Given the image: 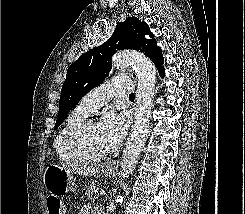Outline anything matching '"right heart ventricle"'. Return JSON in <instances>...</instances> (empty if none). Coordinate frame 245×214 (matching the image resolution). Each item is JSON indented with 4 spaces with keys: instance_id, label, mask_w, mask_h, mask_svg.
Wrapping results in <instances>:
<instances>
[{
    "instance_id": "e07e8e85",
    "label": "right heart ventricle",
    "mask_w": 245,
    "mask_h": 214,
    "mask_svg": "<svg viewBox=\"0 0 245 214\" xmlns=\"http://www.w3.org/2000/svg\"><path fill=\"white\" fill-rule=\"evenodd\" d=\"M88 113L79 105L73 109L66 117L63 125L59 129L53 141V149L58 158L67 164H76L79 162L68 150L67 140L72 130L83 120L86 119Z\"/></svg>"
}]
</instances>
